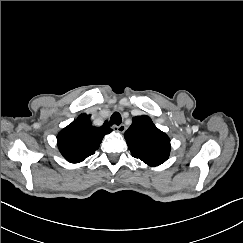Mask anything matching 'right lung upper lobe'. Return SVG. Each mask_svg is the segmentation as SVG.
<instances>
[{
	"label": "right lung upper lobe",
	"mask_w": 243,
	"mask_h": 243,
	"mask_svg": "<svg viewBox=\"0 0 243 243\" xmlns=\"http://www.w3.org/2000/svg\"><path fill=\"white\" fill-rule=\"evenodd\" d=\"M108 122L94 127L90 115L81 114L57 136V144L62 156L70 163H79L95 153L104 135L110 133Z\"/></svg>",
	"instance_id": "cb5924a9"
}]
</instances>
